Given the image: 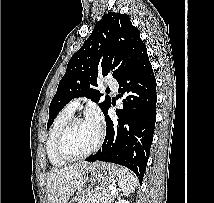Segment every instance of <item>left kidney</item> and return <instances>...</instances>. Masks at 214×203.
<instances>
[{
  "label": "left kidney",
  "instance_id": "obj_1",
  "mask_svg": "<svg viewBox=\"0 0 214 203\" xmlns=\"http://www.w3.org/2000/svg\"><path fill=\"white\" fill-rule=\"evenodd\" d=\"M116 203H129V201H127V200H119V201L116 202Z\"/></svg>",
  "mask_w": 214,
  "mask_h": 203
}]
</instances>
